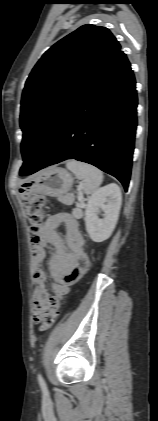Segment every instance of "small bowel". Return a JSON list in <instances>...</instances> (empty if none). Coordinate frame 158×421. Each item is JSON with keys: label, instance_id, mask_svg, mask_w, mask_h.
Wrapping results in <instances>:
<instances>
[{"label": "small bowel", "instance_id": "1", "mask_svg": "<svg viewBox=\"0 0 158 421\" xmlns=\"http://www.w3.org/2000/svg\"><path fill=\"white\" fill-rule=\"evenodd\" d=\"M64 224L65 236L61 237L56 228ZM51 245L54 252L49 260V267L54 282V296L47 291V274L41 267L46 257V247ZM32 275L34 282L35 316L39 318L45 311L58 308L59 302L68 293L69 288L87 271L90 260L84 249V238L79 230L77 219L69 213H59L50 218L34 242L31 252Z\"/></svg>", "mask_w": 158, "mask_h": 421}]
</instances>
